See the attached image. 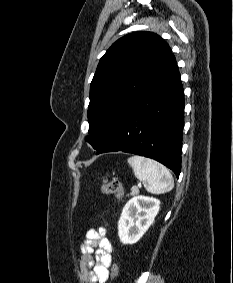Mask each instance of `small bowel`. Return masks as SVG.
Listing matches in <instances>:
<instances>
[{"instance_id":"c3829d8e","label":"small bowel","mask_w":233,"mask_h":283,"mask_svg":"<svg viewBox=\"0 0 233 283\" xmlns=\"http://www.w3.org/2000/svg\"><path fill=\"white\" fill-rule=\"evenodd\" d=\"M79 274L85 283H106L112 265L113 247L105 229H90L80 247Z\"/></svg>"}]
</instances>
